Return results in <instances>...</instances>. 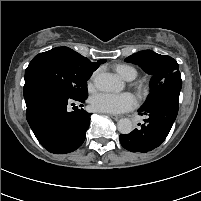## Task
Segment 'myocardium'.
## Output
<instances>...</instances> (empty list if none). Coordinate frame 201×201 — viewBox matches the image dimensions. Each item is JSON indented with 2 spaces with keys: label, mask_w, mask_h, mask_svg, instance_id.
<instances>
[{
  "label": "myocardium",
  "mask_w": 201,
  "mask_h": 201,
  "mask_svg": "<svg viewBox=\"0 0 201 201\" xmlns=\"http://www.w3.org/2000/svg\"><path fill=\"white\" fill-rule=\"evenodd\" d=\"M134 88L140 98L145 97L148 93V87L144 83L138 82L134 85Z\"/></svg>",
  "instance_id": "1"
}]
</instances>
